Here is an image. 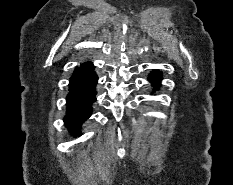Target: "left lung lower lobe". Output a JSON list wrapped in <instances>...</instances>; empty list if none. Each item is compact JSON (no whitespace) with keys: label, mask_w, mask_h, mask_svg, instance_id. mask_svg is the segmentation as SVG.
<instances>
[{"label":"left lung lower lobe","mask_w":233,"mask_h":185,"mask_svg":"<svg viewBox=\"0 0 233 185\" xmlns=\"http://www.w3.org/2000/svg\"><path fill=\"white\" fill-rule=\"evenodd\" d=\"M148 79L150 82L154 83V88H158L162 77L159 71H152Z\"/></svg>","instance_id":"left-lung-lower-lobe-1"}]
</instances>
